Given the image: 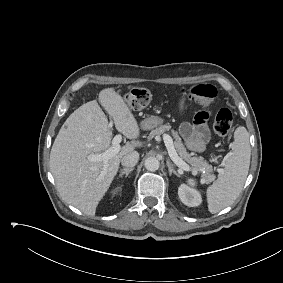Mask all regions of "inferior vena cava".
<instances>
[{"instance_id":"inferior-vena-cava-1","label":"inferior vena cava","mask_w":283,"mask_h":283,"mask_svg":"<svg viewBox=\"0 0 283 283\" xmlns=\"http://www.w3.org/2000/svg\"><path fill=\"white\" fill-rule=\"evenodd\" d=\"M139 160V153L136 151H132L121 159V164L125 167H134Z\"/></svg>"}]
</instances>
